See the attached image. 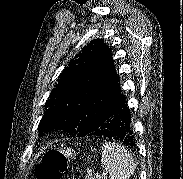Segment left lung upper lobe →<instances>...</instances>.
Masks as SVG:
<instances>
[{"label": "left lung upper lobe", "mask_w": 183, "mask_h": 179, "mask_svg": "<svg viewBox=\"0 0 183 179\" xmlns=\"http://www.w3.org/2000/svg\"><path fill=\"white\" fill-rule=\"evenodd\" d=\"M45 104L40 134L63 130L71 137L90 135L105 120L119 96L120 86L111 51L95 39L60 74Z\"/></svg>", "instance_id": "5c2ea615"}]
</instances>
